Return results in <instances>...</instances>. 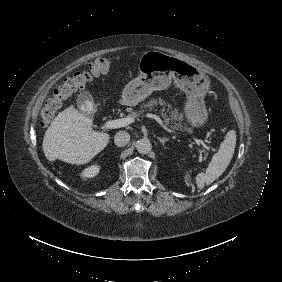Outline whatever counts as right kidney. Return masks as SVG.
I'll list each match as a JSON object with an SVG mask.
<instances>
[{"label": "right kidney", "mask_w": 282, "mask_h": 282, "mask_svg": "<svg viewBox=\"0 0 282 282\" xmlns=\"http://www.w3.org/2000/svg\"><path fill=\"white\" fill-rule=\"evenodd\" d=\"M99 171H100V166L95 164L84 169L81 172L80 177L83 179L92 178L96 176L99 173Z\"/></svg>", "instance_id": "ca27d5eb"}]
</instances>
